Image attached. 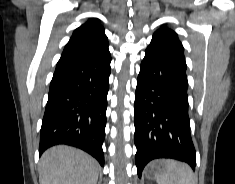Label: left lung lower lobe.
I'll return each instance as SVG.
<instances>
[{
    "label": "left lung lower lobe",
    "mask_w": 235,
    "mask_h": 184,
    "mask_svg": "<svg viewBox=\"0 0 235 184\" xmlns=\"http://www.w3.org/2000/svg\"><path fill=\"white\" fill-rule=\"evenodd\" d=\"M184 49L167 37L152 39L140 66L134 104L135 163L141 177L153 159L172 158L196 166L188 115Z\"/></svg>",
    "instance_id": "1"
}]
</instances>
